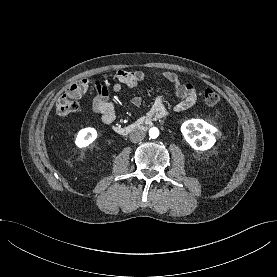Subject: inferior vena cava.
Listing matches in <instances>:
<instances>
[{
    "label": "inferior vena cava",
    "instance_id": "602c4592",
    "mask_svg": "<svg viewBox=\"0 0 277 277\" xmlns=\"http://www.w3.org/2000/svg\"><path fill=\"white\" fill-rule=\"evenodd\" d=\"M145 138V133L140 130H135L130 133L129 139L131 142L136 143L142 141Z\"/></svg>",
    "mask_w": 277,
    "mask_h": 277
}]
</instances>
